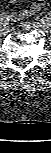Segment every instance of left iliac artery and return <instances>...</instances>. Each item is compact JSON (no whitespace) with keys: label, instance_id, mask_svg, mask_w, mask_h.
Here are the masks:
<instances>
[{"label":"left iliac artery","instance_id":"44dca946","mask_svg":"<svg viewBox=\"0 0 51 153\" xmlns=\"http://www.w3.org/2000/svg\"><path fill=\"white\" fill-rule=\"evenodd\" d=\"M44 20L47 21V25L48 26H51V23H50V20H51V14H47L45 17H44Z\"/></svg>","mask_w":51,"mask_h":153}]
</instances>
